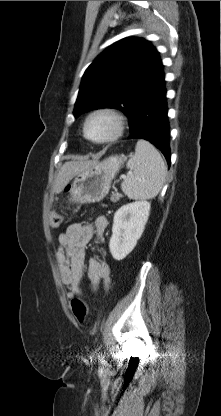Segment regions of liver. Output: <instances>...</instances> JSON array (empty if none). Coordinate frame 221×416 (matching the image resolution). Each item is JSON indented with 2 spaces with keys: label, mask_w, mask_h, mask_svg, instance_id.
Instances as JSON below:
<instances>
[{
  "label": "liver",
  "mask_w": 221,
  "mask_h": 416,
  "mask_svg": "<svg viewBox=\"0 0 221 416\" xmlns=\"http://www.w3.org/2000/svg\"><path fill=\"white\" fill-rule=\"evenodd\" d=\"M96 163L97 160L65 162L55 179L53 192L56 194L60 193L74 176H76L80 172L89 169Z\"/></svg>",
  "instance_id": "obj_1"
}]
</instances>
